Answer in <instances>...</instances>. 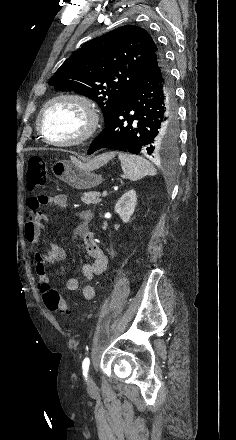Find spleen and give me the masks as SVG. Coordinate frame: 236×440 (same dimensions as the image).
<instances>
[{"label":"spleen","mask_w":236,"mask_h":440,"mask_svg":"<svg viewBox=\"0 0 236 440\" xmlns=\"http://www.w3.org/2000/svg\"><path fill=\"white\" fill-rule=\"evenodd\" d=\"M122 171L131 181H138L147 175H155V167L141 156L119 153Z\"/></svg>","instance_id":"spleen-1"}]
</instances>
